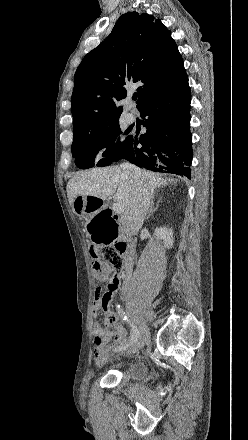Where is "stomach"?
<instances>
[{
  "instance_id": "obj_1",
  "label": "stomach",
  "mask_w": 248,
  "mask_h": 440,
  "mask_svg": "<svg viewBox=\"0 0 248 440\" xmlns=\"http://www.w3.org/2000/svg\"><path fill=\"white\" fill-rule=\"evenodd\" d=\"M93 196H77L73 203L76 218H87L86 232H89L91 246H111L118 241L120 225L114 218L113 209H100L102 200Z\"/></svg>"
}]
</instances>
